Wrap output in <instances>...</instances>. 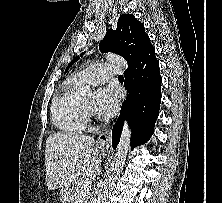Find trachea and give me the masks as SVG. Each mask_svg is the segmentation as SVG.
Listing matches in <instances>:
<instances>
[{
	"mask_svg": "<svg viewBox=\"0 0 222 203\" xmlns=\"http://www.w3.org/2000/svg\"><path fill=\"white\" fill-rule=\"evenodd\" d=\"M118 79H124V78H123V76L120 75V76L118 77Z\"/></svg>",
	"mask_w": 222,
	"mask_h": 203,
	"instance_id": "3493384b",
	"label": "trachea"
}]
</instances>
